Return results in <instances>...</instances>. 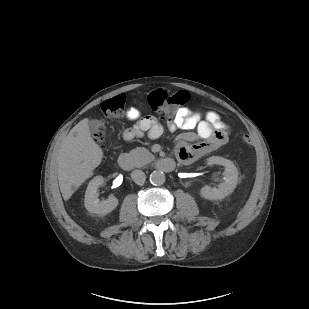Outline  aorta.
<instances>
[{
  "mask_svg": "<svg viewBox=\"0 0 309 309\" xmlns=\"http://www.w3.org/2000/svg\"><path fill=\"white\" fill-rule=\"evenodd\" d=\"M150 182L155 186H160L165 182V174L162 171H153L150 174Z\"/></svg>",
  "mask_w": 309,
  "mask_h": 309,
  "instance_id": "1",
  "label": "aorta"
}]
</instances>
